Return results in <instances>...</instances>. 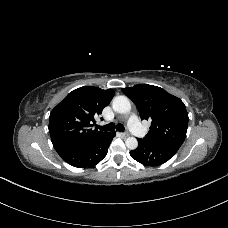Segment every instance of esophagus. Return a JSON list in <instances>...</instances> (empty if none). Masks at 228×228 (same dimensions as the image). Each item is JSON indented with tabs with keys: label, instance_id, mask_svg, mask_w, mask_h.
Segmentation results:
<instances>
[{
	"label": "esophagus",
	"instance_id": "esophagus-1",
	"mask_svg": "<svg viewBox=\"0 0 228 228\" xmlns=\"http://www.w3.org/2000/svg\"><path fill=\"white\" fill-rule=\"evenodd\" d=\"M120 135H121V137H123V138H127V137L129 136L128 133H120Z\"/></svg>",
	"mask_w": 228,
	"mask_h": 228
}]
</instances>
